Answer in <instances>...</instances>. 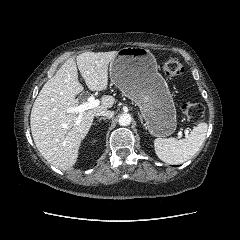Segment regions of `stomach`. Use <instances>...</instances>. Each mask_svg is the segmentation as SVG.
Masks as SVG:
<instances>
[{"label": "stomach", "instance_id": "1", "mask_svg": "<svg viewBox=\"0 0 240 240\" xmlns=\"http://www.w3.org/2000/svg\"><path fill=\"white\" fill-rule=\"evenodd\" d=\"M109 70L111 82L139 106L146 129L152 135L166 137L174 133L177 127L174 101L150 50L122 48Z\"/></svg>", "mask_w": 240, "mask_h": 240}]
</instances>
